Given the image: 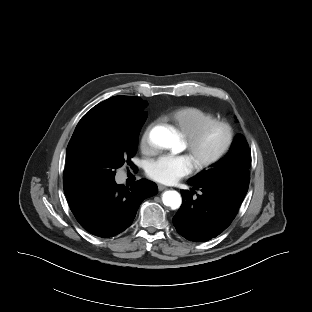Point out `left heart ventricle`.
I'll use <instances>...</instances> for the list:
<instances>
[{
  "label": "left heart ventricle",
  "mask_w": 312,
  "mask_h": 312,
  "mask_svg": "<svg viewBox=\"0 0 312 312\" xmlns=\"http://www.w3.org/2000/svg\"><path fill=\"white\" fill-rule=\"evenodd\" d=\"M225 138L226 133L223 128L217 127L213 129L197 146L194 154L190 155V159L194 163L215 154L223 146Z\"/></svg>",
  "instance_id": "obj_1"
}]
</instances>
